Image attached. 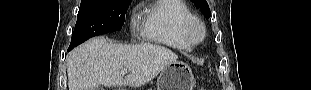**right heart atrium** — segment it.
<instances>
[{"label": "right heart atrium", "instance_id": "obj_1", "mask_svg": "<svg viewBox=\"0 0 311 90\" xmlns=\"http://www.w3.org/2000/svg\"><path fill=\"white\" fill-rule=\"evenodd\" d=\"M132 27L134 28L135 27V23H134V21L132 20Z\"/></svg>", "mask_w": 311, "mask_h": 90}]
</instances>
